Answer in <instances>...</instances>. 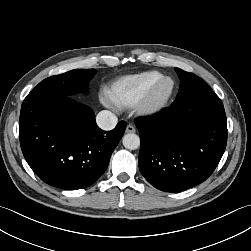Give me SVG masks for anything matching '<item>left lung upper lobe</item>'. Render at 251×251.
Returning <instances> with one entry per match:
<instances>
[{
	"label": "left lung upper lobe",
	"instance_id": "left-lung-upper-lobe-1",
	"mask_svg": "<svg viewBox=\"0 0 251 251\" xmlns=\"http://www.w3.org/2000/svg\"><path fill=\"white\" fill-rule=\"evenodd\" d=\"M175 71L180 78L179 92L187 91L191 89L192 86L202 85L205 83L201 78L192 73L183 71L182 69L179 68H175Z\"/></svg>",
	"mask_w": 251,
	"mask_h": 251
}]
</instances>
